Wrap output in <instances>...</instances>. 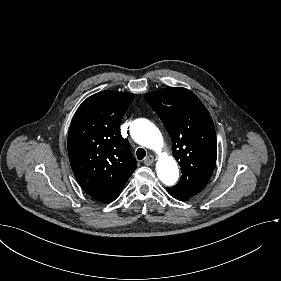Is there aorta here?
<instances>
[{"instance_id": "1", "label": "aorta", "mask_w": 281, "mask_h": 281, "mask_svg": "<svg viewBox=\"0 0 281 281\" xmlns=\"http://www.w3.org/2000/svg\"><path fill=\"white\" fill-rule=\"evenodd\" d=\"M131 134L137 143L159 155L156 170L162 183L167 186L174 185L179 177L178 166L172 156L161 153L163 138L159 129L147 119H138L131 125Z\"/></svg>"}]
</instances>
